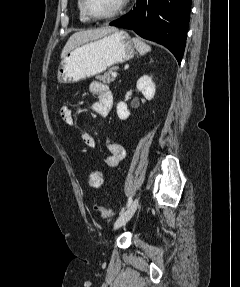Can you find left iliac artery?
<instances>
[{"label": "left iliac artery", "mask_w": 240, "mask_h": 287, "mask_svg": "<svg viewBox=\"0 0 240 287\" xmlns=\"http://www.w3.org/2000/svg\"><path fill=\"white\" fill-rule=\"evenodd\" d=\"M132 203V197L130 196L129 199H128V202H127V207H129Z\"/></svg>", "instance_id": "obj_1"}]
</instances>
